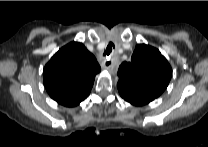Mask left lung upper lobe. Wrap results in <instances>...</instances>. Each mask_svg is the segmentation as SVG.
Segmentation results:
<instances>
[{"label":"left lung upper lobe","mask_w":208,"mask_h":147,"mask_svg":"<svg viewBox=\"0 0 208 147\" xmlns=\"http://www.w3.org/2000/svg\"><path fill=\"white\" fill-rule=\"evenodd\" d=\"M117 87L135 91L152 98L167 88L172 69L160 51L146 44L136 46L130 62H123L118 70Z\"/></svg>","instance_id":"obj_1"}]
</instances>
